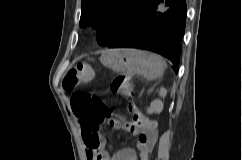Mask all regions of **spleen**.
I'll return each instance as SVG.
<instances>
[{
  "label": "spleen",
  "instance_id": "spleen-1",
  "mask_svg": "<svg viewBox=\"0 0 242 160\" xmlns=\"http://www.w3.org/2000/svg\"><path fill=\"white\" fill-rule=\"evenodd\" d=\"M156 58H157V60L159 61V63H160V74L158 75V76H160V75H162V73H163V70H164V68L166 67V63H165V61L161 58V57H159L158 55H156ZM157 76V77H158Z\"/></svg>",
  "mask_w": 242,
  "mask_h": 160
}]
</instances>
